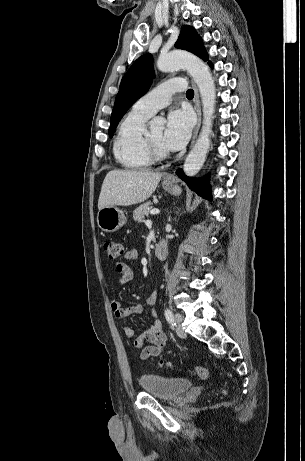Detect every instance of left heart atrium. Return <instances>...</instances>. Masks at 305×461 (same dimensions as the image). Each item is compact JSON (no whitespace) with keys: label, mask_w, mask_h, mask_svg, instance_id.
<instances>
[{"label":"left heart atrium","mask_w":305,"mask_h":461,"mask_svg":"<svg viewBox=\"0 0 305 461\" xmlns=\"http://www.w3.org/2000/svg\"><path fill=\"white\" fill-rule=\"evenodd\" d=\"M193 118L187 110H175L168 115L163 133L165 149L177 151L183 148L191 135Z\"/></svg>","instance_id":"obj_1"}]
</instances>
